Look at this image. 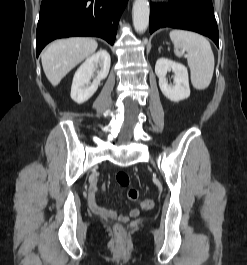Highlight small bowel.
Masks as SVG:
<instances>
[{
    "instance_id": "obj_1",
    "label": "small bowel",
    "mask_w": 247,
    "mask_h": 265,
    "mask_svg": "<svg viewBox=\"0 0 247 265\" xmlns=\"http://www.w3.org/2000/svg\"><path fill=\"white\" fill-rule=\"evenodd\" d=\"M88 201H89V206L94 213L107 217L109 219L118 218L126 221L129 217H137L139 215L138 209L131 210L129 216H127V215H118L116 211L100 206L96 198V189L91 190Z\"/></svg>"
}]
</instances>
